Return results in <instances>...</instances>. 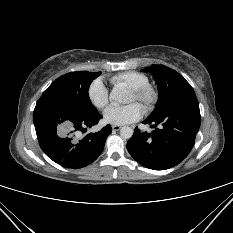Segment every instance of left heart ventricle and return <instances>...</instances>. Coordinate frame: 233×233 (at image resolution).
<instances>
[{"mask_svg":"<svg viewBox=\"0 0 233 233\" xmlns=\"http://www.w3.org/2000/svg\"><path fill=\"white\" fill-rule=\"evenodd\" d=\"M135 101H137V100H136L134 94L131 93L130 96H129V98H128V102H135Z\"/></svg>","mask_w":233,"mask_h":233,"instance_id":"obj_1","label":"left heart ventricle"}]
</instances>
